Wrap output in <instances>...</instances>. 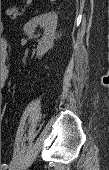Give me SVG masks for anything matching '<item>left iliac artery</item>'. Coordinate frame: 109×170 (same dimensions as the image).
<instances>
[{"mask_svg": "<svg viewBox=\"0 0 109 170\" xmlns=\"http://www.w3.org/2000/svg\"><path fill=\"white\" fill-rule=\"evenodd\" d=\"M7 168H8V165L7 164H3L2 170H6Z\"/></svg>", "mask_w": 109, "mask_h": 170, "instance_id": "44dca946", "label": "left iliac artery"}]
</instances>
